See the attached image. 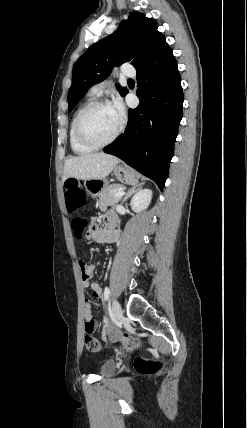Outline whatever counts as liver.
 I'll return each mask as SVG.
<instances>
[{
  "label": "liver",
  "instance_id": "obj_1",
  "mask_svg": "<svg viewBox=\"0 0 247 428\" xmlns=\"http://www.w3.org/2000/svg\"><path fill=\"white\" fill-rule=\"evenodd\" d=\"M118 163L117 157L103 152L71 157L65 161L62 181L104 179Z\"/></svg>",
  "mask_w": 247,
  "mask_h": 428
}]
</instances>
